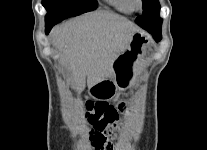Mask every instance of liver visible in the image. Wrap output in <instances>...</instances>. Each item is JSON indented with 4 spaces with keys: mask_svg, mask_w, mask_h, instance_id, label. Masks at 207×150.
I'll use <instances>...</instances> for the list:
<instances>
[{
    "mask_svg": "<svg viewBox=\"0 0 207 150\" xmlns=\"http://www.w3.org/2000/svg\"><path fill=\"white\" fill-rule=\"evenodd\" d=\"M139 27L123 16L107 11L89 13L56 26L53 46L68 66L74 89L88 87L113 77V63L125 51Z\"/></svg>",
    "mask_w": 207,
    "mask_h": 150,
    "instance_id": "6515ba94",
    "label": "liver"
}]
</instances>
